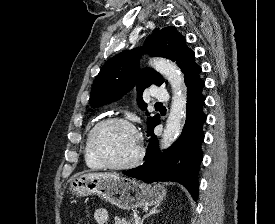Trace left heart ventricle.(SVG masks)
Here are the masks:
<instances>
[{
    "label": "left heart ventricle",
    "instance_id": "left-heart-ventricle-1",
    "mask_svg": "<svg viewBox=\"0 0 275 224\" xmlns=\"http://www.w3.org/2000/svg\"><path fill=\"white\" fill-rule=\"evenodd\" d=\"M98 146L112 163L122 164L132 160L138 149L134 132L123 124L104 127L98 137Z\"/></svg>",
    "mask_w": 275,
    "mask_h": 224
}]
</instances>
